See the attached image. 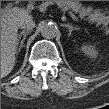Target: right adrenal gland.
I'll return each mask as SVG.
<instances>
[{
    "instance_id": "right-adrenal-gland-1",
    "label": "right adrenal gland",
    "mask_w": 109,
    "mask_h": 109,
    "mask_svg": "<svg viewBox=\"0 0 109 109\" xmlns=\"http://www.w3.org/2000/svg\"><path fill=\"white\" fill-rule=\"evenodd\" d=\"M30 31H22L18 36H17V47H18V51L17 52H20L22 47H23V44H24V41L26 39V35L29 33ZM23 36L21 42H20V39L21 37ZM19 42H20V45H19ZM19 45V46H18Z\"/></svg>"
}]
</instances>
